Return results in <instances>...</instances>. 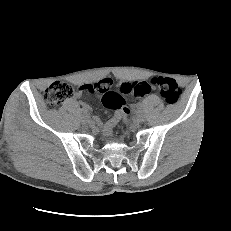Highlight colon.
<instances>
[{
    "mask_svg": "<svg viewBox=\"0 0 231 231\" xmlns=\"http://www.w3.org/2000/svg\"><path fill=\"white\" fill-rule=\"evenodd\" d=\"M151 87H156L168 105H174L180 97V90L176 81L168 77H154L148 82H120L113 85L112 80L104 79L87 88L88 92L97 93L102 96L104 105L116 111L115 119L126 123L128 120L129 108L123 99L124 94L134 97L146 95ZM73 88L66 82L56 81L52 83L44 93V99L51 108L58 106L65 100L72 97Z\"/></svg>",
    "mask_w": 231,
    "mask_h": 231,
    "instance_id": "colon-1",
    "label": "colon"
}]
</instances>
